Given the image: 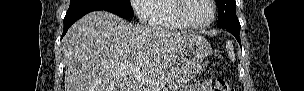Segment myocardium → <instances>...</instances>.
<instances>
[{"label":"myocardium","mask_w":304,"mask_h":91,"mask_svg":"<svg viewBox=\"0 0 304 91\" xmlns=\"http://www.w3.org/2000/svg\"><path fill=\"white\" fill-rule=\"evenodd\" d=\"M212 8V17L211 19L205 23V24H194L190 22L186 15H185V8H186V2L187 0H175L174 7H173V13L175 18L181 22L186 28L190 29H205L213 24V22L216 19V5L215 1L213 0H207Z\"/></svg>","instance_id":"1"}]
</instances>
